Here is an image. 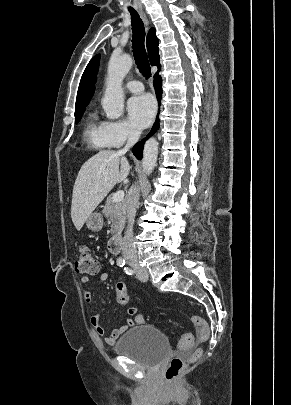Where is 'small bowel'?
Returning <instances> with one entry per match:
<instances>
[{"label":"small bowel","instance_id":"1","mask_svg":"<svg viewBox=\"0 0 291 405\" xmlns=\"http://www.w3.org/2000/svg\"><path fill=\"white\" fill-rule=\"evenodd\" d=\"M108 277L109 276H108L107 272H101L99 274V279L101 282H106L108 280ZM80 283L82 285H87L89 283V278L87 276L81 277ZM93 299H94V296L91 291H86L84 293V300L86 303H88V304L92 303ZM127 314H128V316H132L133 319L128 317L127 321L124 325L114 328L112 330L111 334H109L107 336H105V329L101 325V315L99 313L93 314L90 318V322H91V325H92L95 333L98 336H105L106 343L114 344L117 341V339L127 331V329L129 327L134 326V325H141L144 323L143 315L139 314L135 308H129L127 310Z\"/></svg>","mask_w":291,"mask_h":405}]
</instances>
